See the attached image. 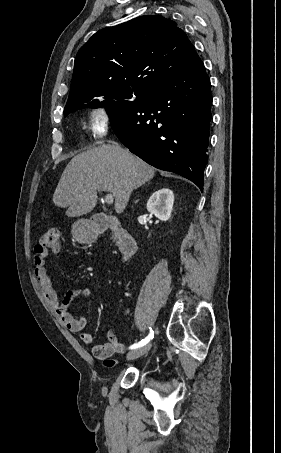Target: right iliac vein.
Segmentation results:
<instances>
[{
  "label": "right iliac vein",
  "instance_id": "obj_1",
  "mask_svg": "<svg viewBox=\"0 0 281 453\" xmlns=\"http://www.w3.org/2000/svg\"><path fill=\"white\" fill-rule=\"evenodd\" d=\"M153 344L150 342L148 345L142 346V348H137V350L129 351L128 357L126 358L128 361H134L135 358L141 357V355H145V352H149L151 350V346Z\"/></svg>",
  "mask_w": 281,
  "mask_h": 453
}]
</instances>
